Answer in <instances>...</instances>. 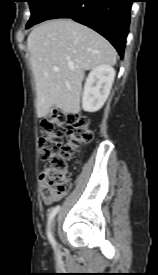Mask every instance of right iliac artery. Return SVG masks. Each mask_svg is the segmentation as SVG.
<instances>
[{
    "mask_svg": "<svg viewBox=\"0 0 158 275\" xmlns=\"http://www.w3.org/2000/svg\"><path fill=\"white\" fill-rule=\"evenodd\" d=\"M60 209V206H56L54 207L51 212H50V215L48 217V225H47V236H48V239L50 241V243L53 245V247H55L56 243H55V240L51 234V231H50V225H51V222L53 220V218L55 217V215L57 214V212L59 211Z\"/></svg>",
    "mask_w": 158,
    "mask_h": 275,
    "instance_id": "1",
    "label": "right iliac artery"
}]
</instances>
